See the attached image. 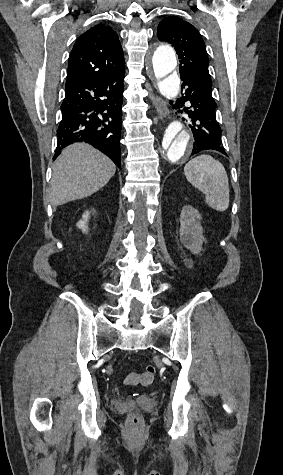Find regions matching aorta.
Instances as JSON below:
<instances>
[{
	"label": "aorta",
	"mask_w": 283,
	"mask_h": 475,
	"mask_svg": "<svg viewBox=\"0 0 283 475\" xmlns=\"http://www.w3.org/2000/svg\"><path fill=\"white\" fill-rule=\"evenodd\" d=\"M163 96L175 99L180 90V80L174 71L177 66L175 51L169 45H160L149 60ZM193 138L190 130L180 120H173L163 133L159 144L160 161L176 164L190 156Z\"/></svg>",
	"instance_id": "aorta-1"
}]
</instances>
